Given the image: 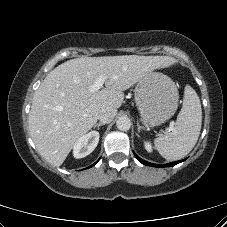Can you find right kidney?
Returning <instances> with one entry per match:
<instances>
[{"label":"right kidney","mask_w":227,"mask_h":227,"mask_svg":"<svg viewBox=\"0 0 227 227\" xmlns=\"http://www.w3.org/2000/svg\"><path fill=\"white\" fill-rule=\"evenodd\" d=\"M99 142V133L91 131L81 136L73 147V155L75 158H83L89 155L96 148Z\"/></svg>","instance_id":"right-kidney-1"}]
</instances>
